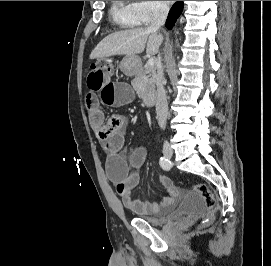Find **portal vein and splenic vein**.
I'll return each mask as SVG.
<instances>
[{
  "label": "portal vein and splenic vein",
  "mask_w": 271,
  "mask_h": 266,
  "mask_svg": "<svg viewBox=\"0 0 271 266\" xmlns=\"http://www.w3.org/2000/svg\"><path fill=\"white\" fill-rule=\"evenodd\" d=\"M154 64H155V60H154V58H150V59L147 61V65H148V66L153 67V66H154Z\"/></svg>",
  "instance_id": "18ae733b"
}]
</instances>
